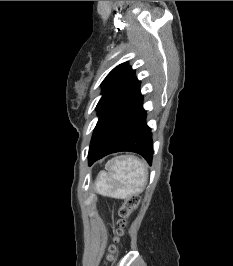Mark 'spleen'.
<instances>
[{"instance_id": "obj_1", "label": "spleen", "mask_w": 233, "mask_h": 266, "mask_svg": "<svg viewBox=\"0 0 233 266\" xmlns=\"http://www.w3.org/2000/svg\"><path fill=\"white\" fill-rule=\"evenodd\" d=\"M105 169L107 172L98 174L95 183L97 193L124 199L143 192L148 172L138 158L118 156L108 161Z\"/></svg>"}]
</instances>
